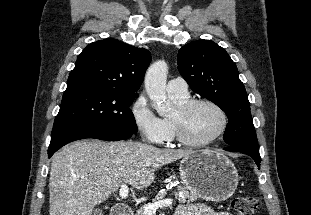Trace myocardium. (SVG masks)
I'll list each match as a JSON object with an SVG mask.
<instances>
[{"instance_id": "1", "label": "myocardium", "mask_w": 311, "mask_h": 215, "mask_svg": "<svg viewBox=\"0 0 311 215\" xmlns=\"http://www.w3.org/2000/svg\"><path fill=\"white\" fill-rule=\"evenodd\" d=\"M200 104L209 105L213 107L215 110H217V112L220 114L221 117V124L219 129L211 137L203 141H194L190 139L187 135L185 118L195 106ZM175 111L176 116L172 117L171 120L176 131V137L181 144L187 147L201 148L212 144L225 132L228 125V117L225 110L219 104L207 98L189 99L186 102L178 105Z\"/></svg>"}]
</instances>
